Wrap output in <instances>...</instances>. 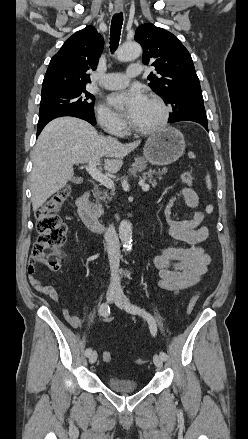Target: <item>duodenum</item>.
<instances>
[{"label": "duodenum", "instance_id": "410a0bca", "mask_svg": "<svg viewBox=\"0 0 248 439\" xmlns=\"http://www.w3.org/2000/svg\"><path fill=\"white\" fill-rule=\"evenodd\" d=\"M78 213L82 222L93 232H100L105 225L100 222V212L90 204V193L83 192L77 199Z\"/></svg>", "mask_w": 248, "mask_h": 439}]
</instances>
